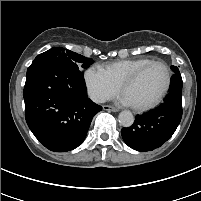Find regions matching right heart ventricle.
I'll use <instances>...</instances> for the list:
<instances>
[{
  "label": "right heart ventricle",
  "instance_id": "1",
  "mask_svg": "<svg viewBox=\"0 0 201 201\" xmlns=\"http://www.w3.org/2000/svg\"><path fill=\"white\" fill-rule=\"evenodd\" d=\"M151 61L149 58L119 60L107 64L104 68L111 78L120 86L136 69Z\"/></svg>",
  "mask_w": 201,
  "mask_h": 201
}]
</instances>
